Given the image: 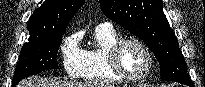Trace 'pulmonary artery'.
<instances>
[{
	"label": "pulmonary artery",
	"mask_w": 205,
	"mask_h": 87,
	"mask_svg": "<svg viewBox=\"0 0 205 87\" xmlns=\"http://www.w3.org/2000/svg\"><path fill=\"white\" fill-rule=\"evenodd\" d=\"M103 26H107V27H110V25H109V24H104Z\"/></svg>",
	"instance_id": "e3ab8cb5"
}]
</instances>
